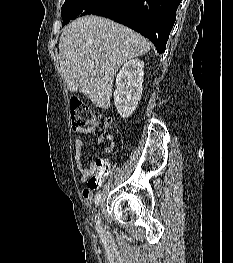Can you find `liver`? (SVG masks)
I'll return each instance as SVG.
<instances>
[{"label":"liver","mask_w":233,"mask_h":263,"mask_svg":"<svg viewBox=\"0 0 233 263\" xmlns=\"http://www.w3.org/2000/svg\"><path fill=\"white\" fill-rule=\"evenodd\" d=\"M150 46L147 39L124 25L94 15L80 17L60 36L64 83L69 91L83 93L96 107L108 109L116 72L127 61L148 53Z\"/></svg>","instance_id":"liver-1"}]
</instances>
